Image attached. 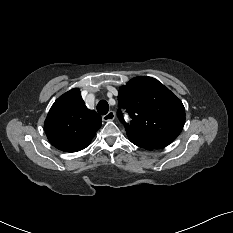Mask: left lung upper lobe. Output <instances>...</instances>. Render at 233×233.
Returning a JSON list of instances; mask_svg holds the SVG:
<instances>
[{"instance_id":"5c2ea615","label":"left lung upper lobe","mask_w":233,"mask_h":233,"mask_svg":"<svg viewBox=\"0 0 233 233\" xmlns=\"http://www.w3.org/2000/svg\"><path fill=\"white\" fill-rule=\"evenodd\" d=\"M118 105L132 117L131 123L126 124L129 140L147 150L166 147L184 126L182 102L152 77H135L122 86ZM118 117L123 120L120 111Z\"/></svg>"}]
</instances>
